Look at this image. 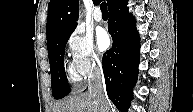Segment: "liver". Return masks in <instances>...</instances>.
Listing matches in <instances>:
<instances>
[{
    "label": "liver",
    "instance_id": "liver-1",
    "mask_svg": "<svg viewBox=\"0 0 193 112\" xmlns=\"http://www.w3.org/2000/svg\"><path fill=\"white\" fill-rule=\"evenodd\" d=\"M53 112H100V106L92 95L83 93L56 103Z\"/></svg>",
    "mask_w": 193,
    "mask_h": 112
}]
</instances>
